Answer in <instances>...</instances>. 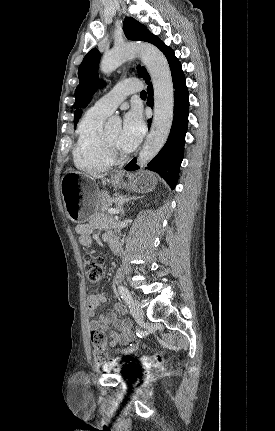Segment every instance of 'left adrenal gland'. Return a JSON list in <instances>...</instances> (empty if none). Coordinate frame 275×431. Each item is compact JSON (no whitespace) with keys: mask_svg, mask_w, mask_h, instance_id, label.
<instances>
[{"mask_svg":"<svg viewBox=\"0 0 275 431\" xmlns=\"http://www.w3.org/2000/svg\"><path fill=\"white\" fill-rule=\"evenodd\" d=\"M139 198L140 197H136V196H133V197L120 196V197H118L116 199V204H117V208L119 209L120 216L124 215L123 204H125V203H127V202H129L131 200H137Z\"/></svg>","mask_w":275,"mask_h":431,"instance_id":"1","label":"left adrenal gland"}]
</instances>
